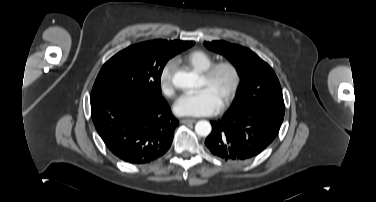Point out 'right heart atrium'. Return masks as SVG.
Returning <instances> with one entry per match:
<instances>
[{
	"mask_svg": "<svg viewBox=\"0 0 376 202\" xmlns=\"http://www.w3.org/2000/svg\"><path fill=\"white\" fill-rule=\"evenodd\" d=\"M174 71L175 63L173 60H169L164 64L159 73V87L161 92L167 97H172L175 92L172 80Z\"/></svg>",
	"mask_w": 376,
	"mask_h": 202,
	"instance_id": "1",
	"label": "right heart atrium"
}]
</instances>
